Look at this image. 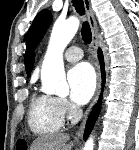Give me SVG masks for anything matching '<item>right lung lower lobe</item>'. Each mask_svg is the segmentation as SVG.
<instances>
[{
	"label": "right lung lower lobe",
	"instance_id": "obj_1",
	"mask_svg": "<svg viewBox=\"0 0 139 150\" xmlns=\"http://www.w3.org/2000/svg\"><path fill=\"white\" fill-rule=\"evenodd\" d=\"M98 57H99L100 65H101L102 78H103V83H104L105 82L104 59H103V54L100 49L98 50ZM100 105H101V96L88 119L85 133H84V140L87 139V137L89 136V134L94 126V123H95V121L98 117L99 111H100Z\"/></svg>",
	"mask_w": 139,
	"mask_h": 150
}]
</instances>
